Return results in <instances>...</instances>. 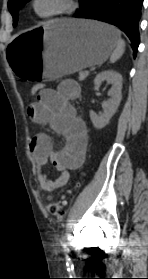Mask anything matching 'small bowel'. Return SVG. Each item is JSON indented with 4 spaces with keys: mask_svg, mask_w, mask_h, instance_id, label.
Listing matches in <instances>:
<instances>
[{
    "mask_svg": "<svg viewBox=\"0 0 148 279\" xmlns=\"http://www.w3.org/2000/svg\"><path fill=\"white\" fill-rule=\"evenodd\" d=\"M80 95V86L73 80H65L57 89H44L37 101L32 102L27 113L32 122L48 125L65 139V145L55 150L50 136L36 134L30 141L37 179L42 189L57 191L69 180V171L78 169L84 162L88 134L84 120L72 105ZM51 163L60 175L52 180L42 168Z\"/></svg>",
    "mask_w": 148,
    "mask_h": 279,
    "instance_id": "obj_1",
    "label": "small bowel"
}]
</instances>
